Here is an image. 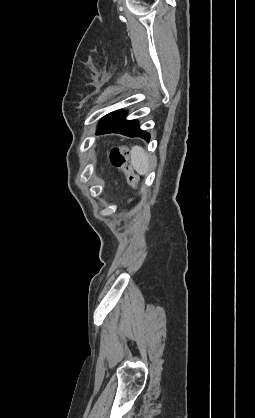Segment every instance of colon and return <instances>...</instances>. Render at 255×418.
Segmentation results:
<instances>
[{"mask_svg":"<svg viewBox=\"0 0 255 418\" xmlns=\"http://www.w3.org/2000/svg\"><path fill=\"white\" fill-rule=\"evenodd\" d=\"M110 161L117 168L125 169V150L121 147L112 148L110 151ZM129 180L132 186L138 189V178L134 173H129Z\"/></svg>","mask_w":255,"mask_h":418,"instance_id":"1","label":"colon"}]
</instances>
